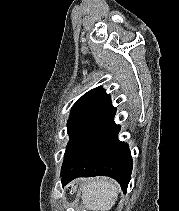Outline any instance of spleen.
Segmentation results:
<instances>
[{
    "label": "spleen",
    "mask_w": 179,
    "mask_h": 211,
    "mask_svg": "<svg viewBox=\"0 0 179 211\" xmlns=\"http://www.w3.org/2000/svg\"><path fill=\"white\" fill-rule=\"evenodd\" d=\"M82 200L86 208L96 211H109L114 205L120 186L104 177L88 179L81 185Z\"/></svg>",
    "instance_id": "3e777b00"
}]
</instances>
